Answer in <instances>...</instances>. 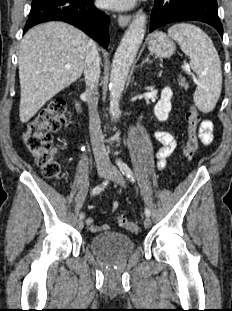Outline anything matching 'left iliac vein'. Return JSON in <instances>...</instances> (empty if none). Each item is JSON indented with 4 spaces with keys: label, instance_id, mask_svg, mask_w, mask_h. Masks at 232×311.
<instances>
[{
    "label": "left iliac vein",
    "instance_id": "4c4485c4",
    "mask_svg": "<svg viewBox=\"0 0 232 311\" xmlns=\"http://www.w3.org/2000/svg\"><path fill=\"white\" fill-rule=\"evenodd\" d=\"M109 173L111 180H113L114 182L118 183L123 187L125 186V180L120 171L116 167L114 166L109 167ZM151 225H152L151 219L149 217H146L144 220V227L146 229H149Z\"/></svg>",
    "mask_w": 232,
    "mask_h": 311
}]
</instances>
